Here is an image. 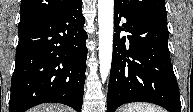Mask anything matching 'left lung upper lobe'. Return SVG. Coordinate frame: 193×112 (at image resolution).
Segmentation results:
<instances>
[{
  "label": "left lung upper lobe",
  "mask_w": 193,
  "mask_h": 112,
  "mask_svg": "<svg viewBox=\"0 0 193 112\" xmlns=\"http://www.w3.org/2000/svg\"><path fill=\"white\" fill-rule=\"evenodd\" d=\"M114 6L128 15L166 12L165 0H115Z\"/></svg>",
  "instance_id": "obj_1"
}]
</instances>
